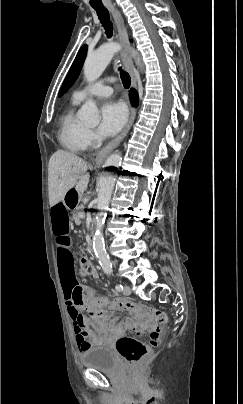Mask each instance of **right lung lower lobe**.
<instances>
[{"instance_id": "98d812e1", "label": "right lung lower lobe", "mask_w": 243, "mask_h": 404, "mask_svg": "<svg viewBox=\"0 0 243 404\" xmlns=\"http://www.w3.org/2000/svg\"><path fill=\"white\" fill-rule=\"evenodd\" d=\"M129 96H130V98H131V103H132L133 105H137V103H138V95H137V92H136L134 89H131V90H130V93H129Z\"/></svg>"}]
</instances>
